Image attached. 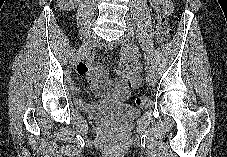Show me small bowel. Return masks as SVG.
I'll return each mask as SVG.
<instances>
[{"label": "small bowel", "instance_id": "obj_1", "mask_svg": "<svg viewBox=\"0 0 227 157\" xmlns=\"http://www.w3.org/2000/svg\"><path fill=\"white\" fill-rule=\"evenodd\" d=\"M151 5L156 11H161L165 15L172 12L173 4L171 0H150ZM114 47L113 43L108 44L107 48ZM142 64L138 53L132 45L122 49L121 58L118 65L119 78H109L103 65L95 62L92 58L87 62H80L76 67L79 75L85 76L92 91L100 97L98 102L87 103L79 98L75 99L76 106L86 112L97 111L107 105L110 101L119 102L126 100L133 88L140 82ZM71 92L77 95L80 87L71 83Z\"/></svg>", "mask_w": 227, "mask_h": 157}]
</instances>
